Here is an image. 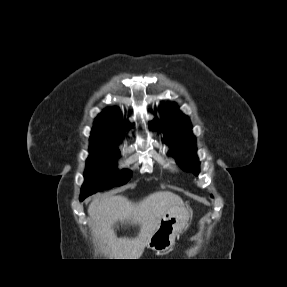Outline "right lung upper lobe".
I'll return each mask as SVG.
<instances>
[{
    "label": "right lung upper lobe",
    "mask_w": 287,
    "mask_h": 287,
    "mask_svg": "<svg viewBox=\"0 0 287 287\" xmlns=\"http://www.w3.org/2000/svg\"><path fill=\"white\" fill-rule=\"evenodd\" d=\"M130 127L128 121L123 122L118 109H106L95 120L90 141L100 143H119L122 132Z\"/></svg>",
    "instance_id": "cb5924a9"
}]
</instances>
